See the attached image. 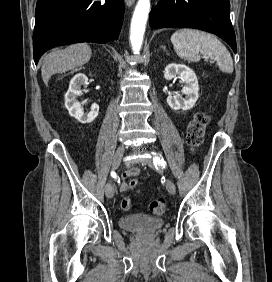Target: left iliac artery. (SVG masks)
Instances as JSON below:
<instances>
[{
	"label": "left iliac artery",
	"instance_id": "obj_1",
	"mask_svg": "<svg viewBox=\"0 0 272 282\" xmlns=\"http://www.w3.org/2000/svg\"><path fill=\"white\" fill-rule=\"evenodd\" d=\"M154 164L155 166H163V168L165 167V162L163 161V159L157 158L155 157L154 159Z\"/></svg>",
	"mask_w": 272,
	"mask_h": 282
}]
</instances>
